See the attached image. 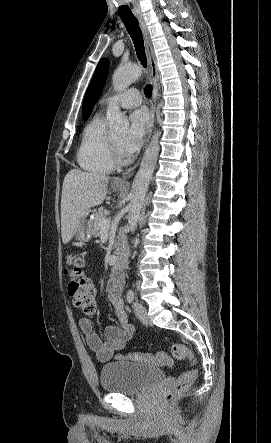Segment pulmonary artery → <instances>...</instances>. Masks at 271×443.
<instances>
[{"label": "pulmonary artery", "mask_w": 271, "mask_h": 443, "mask_svg": "<svg viewBox=\"0 0 271 443\" xmlns=\"http://www.w3.org/2000/svg\"><path fill=\"white\" fill-rule=\"evenodd\" d=\"M107 106H120L124 108L138 107L142 103V96L135 88L119 92L105 100Z\"/></svg>", "instance_id": "e3ab8cb5"}]
</instances>
